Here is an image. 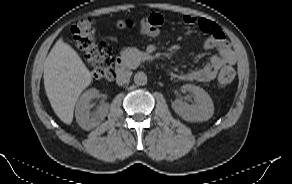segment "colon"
Listing matches in <instances>:
<instances>
[{
	"label": "colon",
	"instance_id": "5ec220e1",
	"mask_svg": "<svg viewBox=\"0 0 292 184\" xmlns=\"http://www.w3.org/2000/svg\"><path fill=\"white\" fill-rule=\"evenodd\" d=\"M162 22L159 17L151 14L142 24L145 35L156 37L160 33ZM121 28L131 27V21H119ZM72 36L77 48L83 52L86 60L92 66V74L97 80L109 81L113 78V57L110 48L95 38V30L91 19L76 22L71 28ZM235 77V70L231 66L223 67L218 75L220 87L229 85Z\"/></svg>",
	"mask_w": 292,
	"mask_h": 184
}]
</instances>
